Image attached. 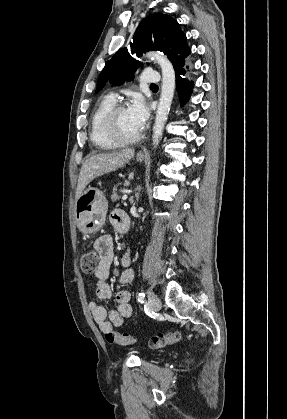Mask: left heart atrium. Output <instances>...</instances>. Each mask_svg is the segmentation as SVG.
I'll list each match as a JSON object with an SVG mask.
<instances>
[{"label":"left heart atrium","instance_id":"39dd6f15","mask_svg":"<svg viewBox=\"0 0 287 419\" xmlns=\"http://www.w3.org/2000/svg\"><path fill=\"white\" fill-rule=\"evenodd\" d=\"M127 111L135 125L140 130L143 129L149 116L148 105L144 98L140 95H135L131 100Z\"/></svg>","mask_w":287,"mask_h":419}]
</instances>
